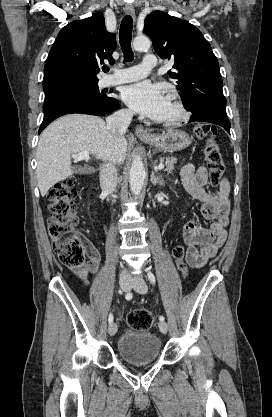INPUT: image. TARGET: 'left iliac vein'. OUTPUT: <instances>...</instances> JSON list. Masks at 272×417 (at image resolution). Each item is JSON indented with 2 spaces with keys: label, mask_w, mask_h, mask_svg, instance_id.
Listing matches in <instances>:
<instances>
[{
  "label": "left iliac vein",
  "mask_w": 272,
  "mask_h": 417,
  "mask_svg": "<svg viewBox=\"0 0 272 417\" xmlns=\"http://www.w3.org/2000/svg\"><path fill=\"white\" fill-rule=\"evenodd\" d=\"M132 288L140 294H145L147 292V285L141 276L132 281ZM158 327L163 334L167 333L168 325L165 321H160Z\"/></svg>",
  "instance_id": "4c4485c4"
}]
</instances>
